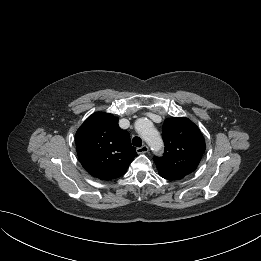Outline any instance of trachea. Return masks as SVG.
<instances>
[{"mask_svg": "<svg viewBox=\"0 0 261 261\" xmlns=\"http://www.w3.org/2000/svg\"><path fill=\"white\" fill-rule=\"evenodd\" d=\"M132 143L134 146L136 147H141L142 146V139L138 136H135L133 139H132Z\"/></svg>", "mask_w": 261, "mask_h": 261, "instance_id": "1", "label": "trachea"}]
</instances>
